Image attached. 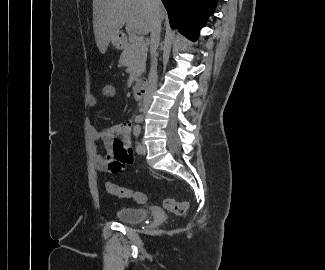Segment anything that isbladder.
<instances>
[{
    "label": "bladder",
    "mask_w": 325,
    "mask_h": 270,
    "mask_svg": "<svg viewBox=\"0 0 325 270\" xmlns=\"http://www.w3.org/2000/svg\"><path fill=\"white\" fill-rule=\"evenodd\" d=\"M115 217L121 223L136 225L147 220L149 212L139 207L122 206L116 210Z\"/></svg>",
    "instance_id": "bladder-1"
}]
</instances>
